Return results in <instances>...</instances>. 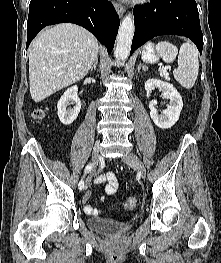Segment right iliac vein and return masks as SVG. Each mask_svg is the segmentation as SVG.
Wrapping results in <instances>:
<instances>
[{"label":"right iliac vein","mask_w":221,"mask_h":263,"mask_svg":"<svg viewBox=\"0 0 221 263\" xmlns=\"http://www.w3.org/2000/svg\"><path fill=\"white\" fill-rule=\"evenodd\" d=\"M99 150H100L99 142H96L93 147V151H92V164L93 165H97L99 161V156H100ZM90 181H91V176H89L86 180L85 189L88 187Z\"/></svg>","instance_id":"63e3f726"}]
</instances>
